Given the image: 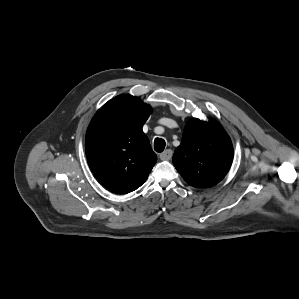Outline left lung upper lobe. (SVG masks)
Listing matches in <instances>:
<instances>
[{"label":"left lung upper lobe","instance_id":"1","mask_svg":"<svg viewBox=\"0 0 299 299\" xmlns=\"http://www.w3.org/2000/svg\"><path fill=\"white\" fill-rule=\"evenodd\" d=\"M233 160V145L225 130L214 120L191 119L182 142L173 155V164L184 180L196 188L219 183Z\"/></svg>","mask_w":299,"mask_h":299}]
</instances>
